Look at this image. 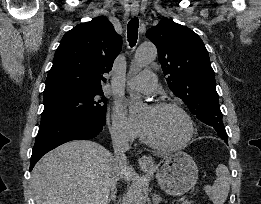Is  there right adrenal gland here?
I'll list each match as a JSON object with an SVG mask.
<instances>
[{"instance_id":"right-adrenal-gland-1","label":"right adrenal gland","mask_w":261,"mask_h":204,"mask_svg":"<svg viewBox=\"0 0 261 204\" xmlns=\"http://www.w3.org/2000/svg\"><path fill=\"white\" fill-rule=\"evenodd\" d=\"M116 193H117V190L115 188L112 189L111 194H110V196L108 198L107 204H109L110 201H115L116 200Z\"/></svg>"}]
</instances>
